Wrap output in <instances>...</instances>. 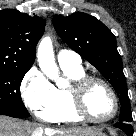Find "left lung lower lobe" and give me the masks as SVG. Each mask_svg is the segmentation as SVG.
<instances>
[{"mask_svg":"<svg viewBox=\"0 0 136 136\" xmlns=\"http://www.w3.org/2000/svg\"><path fill=\"white\" fill-rule=\"evenodd\" d=\"M115 127L123 130L127 134V136L133 135V128H132V125L130 123L119 122V123L115 124Z\"/></svg>","mask_w":136,"mask_h":136,"instance_id":"1","label":"left lung lower lobe"}]
</instances>
